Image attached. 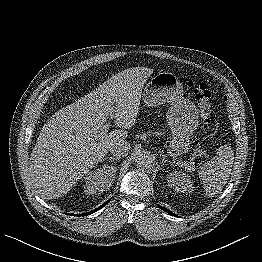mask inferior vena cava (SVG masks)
Listing matches in <instances>:
<instances>
[{
	"label": "inferior vena cava",
	"instance_id": "602c4592",
	"mask_svg": "<svg viewBox=\"0 0 262 262\" xmlns=\"http://www.w3.org/2000/svg\"><path fill=\"white\" fill-rule=\"evenodd\" d=\"M129 151H130V144L124 140L116 142L110 148L111 154L116 158L127 156Z\"/></svg>",
	"mask_w": 262,
	"mask_h": 262
}]
</instances>
